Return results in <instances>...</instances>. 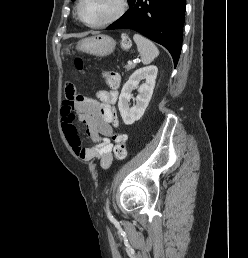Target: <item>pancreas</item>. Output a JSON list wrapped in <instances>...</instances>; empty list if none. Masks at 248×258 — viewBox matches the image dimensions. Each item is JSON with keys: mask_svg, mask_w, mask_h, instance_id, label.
Wrapping results in <instances>:
<instances>
[{"mask_svg": "<svg viewBox=\"0 0 248 258\" xmlns=\"http://www.w3.org/2000/svg\"><path fill=\"white\" fill-rule=\"evenodd\" d=\"M136 67V63H127L126 65H125V69L127 70V71H129V70H131V69H133V68H135Z\"/></svg>", "mask_w": 248, "mask_h": 258, "instance_id": "pancreas-1", "label": "pancreas"}]
</instances>
